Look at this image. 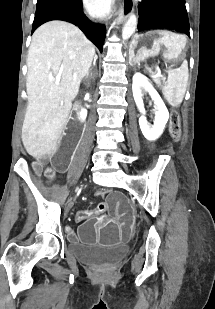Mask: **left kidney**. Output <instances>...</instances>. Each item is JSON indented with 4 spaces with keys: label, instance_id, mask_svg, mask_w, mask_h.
Wrapping results in <instances>:
<instances>
[{
    "label": "left kidney",
    "instance_id": "obj_1",
    "mask_svg": "<svg viewBox=\"0 0 215 309\" xmlns=\"http://www.w3.org/2000/svg\"><path fill=\"white\" fill-rule=\"evenodd\" d=\"M149 92L152 100L155 104V120L154 124H149L146 120V110L144 108V102L142 98L143 90ZM132 92L134 100L139 108V112H142L143 116L139 118L140 128L147 140H156L160 134H162L165 124L169 118V112L167 106H165L161 96H159L157 90L153 88L152 84L148 82L146 76L141 72H135L133 76Z\"/></svg>",
    "mask_w": 215,
    "mask_h": 309
}]
</instances>
